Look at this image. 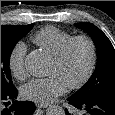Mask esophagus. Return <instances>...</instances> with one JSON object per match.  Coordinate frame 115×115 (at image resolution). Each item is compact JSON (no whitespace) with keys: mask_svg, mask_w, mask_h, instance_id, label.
<instances>
[{"mask_svg":"<svg viewBox=\"0 0 115 115\" xmlns=\"http://www.w3.org/2000/svg\"><path fill=\"white\" fill-rule=\"evenodd\" d=\"M36 107H37V108H46L47 105H46V104H39V103H37V104H36Z\"/></svg>","mask_w":115,"mask_h":115,"instance_id":"obj_1","label":"esophagus"}]
</instances>
